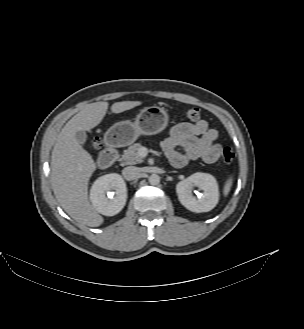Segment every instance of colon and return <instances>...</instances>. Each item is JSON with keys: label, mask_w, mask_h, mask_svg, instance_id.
Instances as JSON below:
<instances>
[{"label": "colon", "mask_w": 304, "mask_h": 329, "mask_svg": "<svg viewBox=\"0 0 304 329\" xmlns=\"http://www.w3.org/2000/svg\"><path fill=\"white\" fill-rule=\"evenodd\" d=\"M185 116L187 119L191 120V121H198L200 119V111L197 108H190L185 112ZM92 145L94 147H98L99 146V141L97 139H94L92 141ZM235 154L233 152V150L230 147H224L222 150V158L223 161L226 164H230L232 163V161L234 160Z\"/></svg>", "instance_id": "obj_1"}]
</instances>
